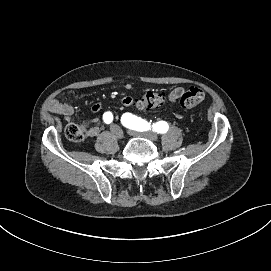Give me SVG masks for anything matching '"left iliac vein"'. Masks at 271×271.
Returning a JSON list of instances; mask_svg holds the SVG:
<instances>
[{
  "instance_id": "4c4485c4",
  "label": "left iliac vein",
  "mask_w": 271,
  "mask_h": 271,
  "mask_svg": "<svg viewBox=\"0 0 271 271\" xmlns=\"http://www.w3.org/2000/svg\"><path fill=\"white\" fill-rule=\"evenodd\" d=\"M128 133L133 136H141L149 139L150 141H157L158 140V134L153 131H147V132H137L129 130Z\"/></svg>"
}]
</instances>
